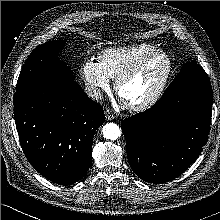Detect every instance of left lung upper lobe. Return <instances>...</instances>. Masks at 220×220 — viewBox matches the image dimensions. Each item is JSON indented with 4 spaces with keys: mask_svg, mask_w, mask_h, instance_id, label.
<instances>
[{
    "mask_svg": "<svg viewBox=\"0 0 220 220\" xmlns=\"http://www.w3.org/2000/svg\"><path fill=\"white\" fill-rule=\"evenodd\" d=\"M210 80L204 69L195 61L186 62L174 81L163 95L177 94L185 88L196 84H209Z\"/></svg>",
    "mask_w": 220,
    "mask_h": 220,
    "instance_id": "obj_1",
    "label": "left lung upper lobe"
}]
</instances>
